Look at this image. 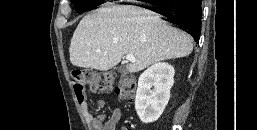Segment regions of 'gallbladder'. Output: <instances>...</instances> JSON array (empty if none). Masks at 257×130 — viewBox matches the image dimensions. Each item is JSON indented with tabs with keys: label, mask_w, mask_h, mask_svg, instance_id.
<instances>
[{
	"label": "gallbladder",
	"mask_w": 257,
	"mask_h": 130,
	"mask_svg": "<svg viewBox=\"0 0 257 130\" xmlns=\"http://www.w3.org/2000/svg\"><path fill=\"white\" fill-rule=\"evenodd\" d=\"M124 71H125V68H124V67H120V68H119V72L122 73V72H124Z\"/></svg>",
	"instance_id": "bac80fb5"
}]
</instances>
